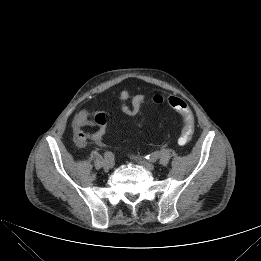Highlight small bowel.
<instances>
[{
    "mask_svg": "<svg viewBox=\"0 0 261 261\" xmlns=\"http://www.w3.org/2000/svg\"><path fill=\"white\" fill-rule=\"evenodd\" d=\"M119 100L120 110L126 115L135 116L139 113L142 105L148 101V98L144 94L132 96L128 90L124 89L119 94ZM88 125H94L96 130L91 133L86 132L84 128ZM106 127L107 119L105 112L98 111L92 119L89 111L82 109L75 115L72 121L74 141L78 147H84L88 141L102 145Z\"/></svg>",
    "mask_w": 261,
    "mask_h": 261,
    "instance_id": "small-bowel-1",
    "label": "small bowel"
}]
</instances>
